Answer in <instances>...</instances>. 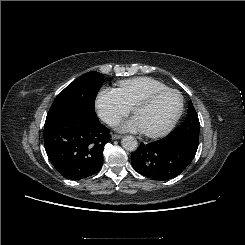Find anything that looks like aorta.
<instances>
[{
  "instance_id": "1",
  "label": "aorta",
  "mask_w": 245,
  "mask_h": 245,
  "mask_svg": "<svg viewBox=\"0 0 245 245\" xmlns=\"http://www.w3.org/2000/svg\"><path fill=\"white\" fill-rule=\"evenodd\" d=\"M122 147L126 151H135L138 148V142L134 136H125L121 140Z\"/></svg>"
}]
</instances>
